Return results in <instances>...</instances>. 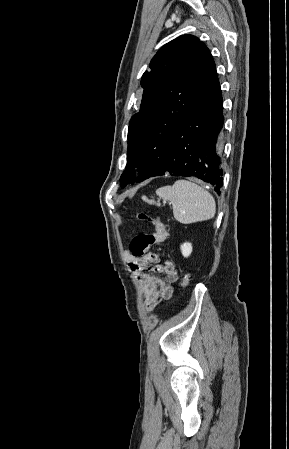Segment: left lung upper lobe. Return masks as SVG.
Instances as JSON below:
<instances>
[{"mask_svg": "<svg viewBox=\"0 0 289 449\" xmlns=\"http://www.w3.org/2000/svg\"><path fill=\"white\" fill-rule=\"evenodd\" d=\"M214 66L209 49L193 35L170 41L153 57L151 71L141 79L144 91L140 111L129 122L127 165L120 178L121 187L160 171L171 131L194 108Z\"/></svg>", "mask_w": 289, "mask_h": 449, "instance_id": "5c2ea615", "label": "left lung upper lobe"}]
</instances>
